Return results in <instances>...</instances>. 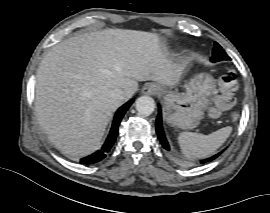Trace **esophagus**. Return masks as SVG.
<instances>
[{"label":"esophagus","mask_w":270,"mask_h":213,"mask_svg":"<svg viewBox=\"0 0 270 213\" xmlns=\"http://www.w3.org/2000/svg\"><path fill=\"white\" fill-rule=\"evenodd\" d=\"M160 90L159 86L157 84L154 83H147L143 89H142V93L146 94V95H155L158 93V91Z\"/></svg>","instance_id":"obj_1"}]
</instances>
